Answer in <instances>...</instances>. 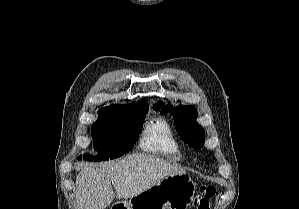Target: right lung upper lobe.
<instances>
[{
	"label": "right lung upper lobe",
	"instance_id": "right-lung-upper-lobe-1",
	"mask_svg": "<svg viewBox=\"0 0 299 209\" xmlns=\"http://www.w3.org/2000/svg\"><path fill=\"white\" fill-rule=\"evenodd\" d=\"M149 109L148 102L143 99L138 103H131L128 106L113 105L99 110L100 115H130L147 112Z\"/></svg>",
	"mask_w": 299,
	"mask_h": 209
}]
</instances>
